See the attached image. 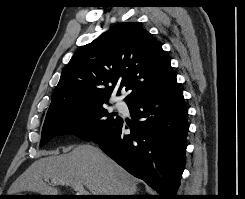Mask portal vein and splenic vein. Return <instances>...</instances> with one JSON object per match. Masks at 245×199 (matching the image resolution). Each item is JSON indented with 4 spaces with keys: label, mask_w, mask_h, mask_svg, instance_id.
Listing matches in <instances>:
<instances>
[{
    "label": "portal vein and splenic vein",
    "mask_w": 245,
    "mask_h": 199,
    "mask_svg": "<svg viewBox=\"0 0 245 199\" xmlns=\"http://www.w3.org/2000/svg\"><path fill=\"white\" fill-rule=\"evenodd\" d=\"M57 185L61 184V185H69L71 184L72 187L78 192V195H90V193L84 189V186L79 183V182H72V183H65V182H58L56 183Z\"/></svg>",
    "instance_id": "1"
}]
</instances>
